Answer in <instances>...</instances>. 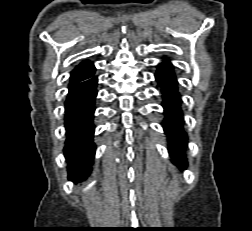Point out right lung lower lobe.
<instances>
[{"label":"right lung lower lobe","mask_w":252,"mask_h":231,"mask_svg":"<svg viewBox=\"0 0 252 231\" xmlns=\"http://www.w3.org/2000/svg\"><path fill=\"white\" fill-rule=\"evenodd\" d=\"M97 82V77H90L71 85L65 101L67 138L64 151L68 161V178L74 182H82L92 170L96 150L93 114Z\"/></svg>","instance_id":"right-lung-lower-lobe-1"}]
</instances>
